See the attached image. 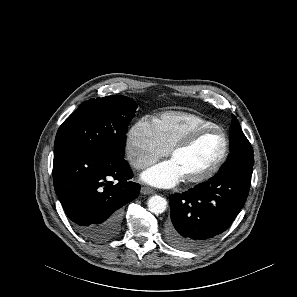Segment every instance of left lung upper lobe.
<instances>
[{
	"instance_id": "1",
	"label": "left lung upper lobe",
	"mask_w": 297,
	"mask_h": 297,
	"mask_svg": "<svg viewBox=\"0 0 297 297\" xmlns=\"http://www.w3.org/2000/svg\"><path fill=\"white\" fill-rule=\"evenodd\" d=\"M230 128V151L227 162L221 167L223 170H247L254 165L253 148L244 135L235 115L232 116Z\"/></svg>"
}]
</instances>
